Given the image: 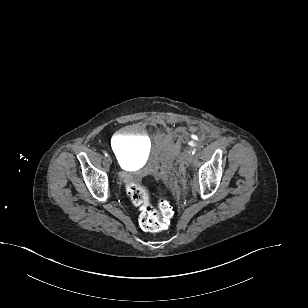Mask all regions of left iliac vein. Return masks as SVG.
<instances>
[{"instance_id": "obj_1", "label": "left iliac vein", "mask_w": 308, "mask_h": 308, "mask_svg": "<svg viewBox=\"0 0 308 308\" xmlns=\"http://www.w3.org/2000/svg\"><path fill=\"white\" fill-rule=\"evenodd\" d=\"M193 159H194V156H193V154L190 151L184 152V154H183V162L185 164L191 163L193 161Z\"/></svg>"}]
</instances>
